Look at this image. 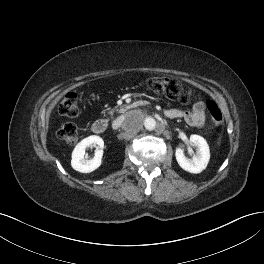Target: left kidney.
<instances>
[{
	"label": "left kidney",
	"mask_w": 264,
	"mask_h": 264,
	"mask_svg": "<svg viewBox=\"0 0 264 264\" xmlns=\"http://www.w3.org/2000/svg\"><path fill=\"white\" fill-rule=\"evenodd\" d=\"M190 142L196 147V154L191 159L185 157L181 148H176L175 156L179 166L190 173H200L207 167L210 150L206 140L196 134L190 136Z\"/></svg>",
	"instance_id": "5707ae66"
}]
</instances>
